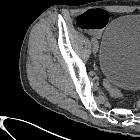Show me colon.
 I'll use <instances>...</instances> for the list:
<instances>
[{
	"label": "colon",
	"mask_w": 140,
	"mask_h": 140,
	"mask_svg": "<svg viewBox=\"0 0 140 140\" xmlns=\"http://www.w3.org/2000/svg\"><path fill=\"white\" fill-rule=\"evenodd\" d=\"M85 17V14L78 17V22H83V18ZM105 88L109 94L110 97L115 99H123V94L121 91L110 81H105Z\"/></svg>",
	"instance_id": "5ec220e1"
}]
</instances>
